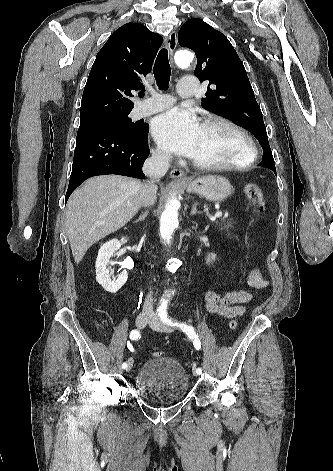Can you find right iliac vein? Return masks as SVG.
Masks as SVG:
<instances>
[{"label":"right iliac vein","mask_w":333,"mask_h":471,"mask_svg":"<svg viewBox=\"0 0 333 471\" xmlns=\"http://www.w3.org/2000/svg\"><path fill=\"white\" fill-rule=\"evenodd\" d=\"M151 317L149 315H146V314H140L137 316L136 318V326L140 329L144 328L147 323L150 321ZM133 366V359L130 358L128 360V366L126 368V371L129 372L131 370Z\"/></svg>","instance_id":"right-iliac-vein-1"}]
</instances>
